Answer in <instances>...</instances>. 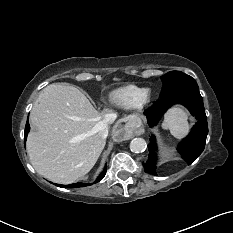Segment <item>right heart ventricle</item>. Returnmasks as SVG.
<instances>
[{
    "mask_svg": "<svg viewBox=\"0 0 233 233\" xmlns=\"http://www.w3.org/2000/svg\"><path fill=\"white\" fill-rule=\"evenodd\" d=\"M146 93V88L136 85H127L113 90L109 94V101L121 107L135 108L144 102Z\"/></svg>",
    "mask_w": 233,
    "mask_h": 233,
    "instance_id": "1",
    "label": "right heart ventricle"
}]
</instances>
